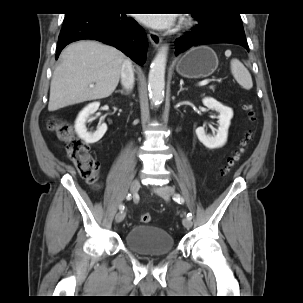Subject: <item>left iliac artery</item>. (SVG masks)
<instances>
[{
    "mask_svg": "<svg viewBox=\"0 0 303 303\" xmlns=\"http://www.w3.org/2000/svg\"><path fill=\"white\" fill-rule=\"evenodd\" d=\"M174 200H175L177 203H180V204L184 203V199H183L179 194H175V195H174ZM187 217L192 219V214H191V213H188V214H187Z\"/></svg>",
    "mask_w": 303,
    "mask_h": 303,
    "instance_id": "obj_1",
    "label": "left iliac artery"
}]
</instances>
